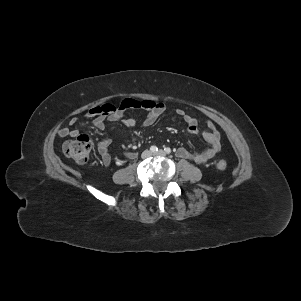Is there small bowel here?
Here are the masks:
<instances>
[{
    "label": "small bowel",
    "mask_w": 301,
    "mask_h": 301,
    "mask_svg": "<svg viewBox=\"0 0 301 301\" xmlns=\"http://www.w3.org/2000/svg\"><path fill=\"white\" fill-rule=\"evenodd\" d=\"M102 106H97L89 110L87 117H94L93 125L98 131H103L106 127V121L122 122L127 127H148L153 125L158 118L165 112V105L161 102L150 100L138 101L135 99H124L117 109L112 112L101 111ZM141 109L146 112L144 118L137 122L132 118H125L124 114L127 110ZM176 113L182 117L187 124L186 132L190 135L200 134L202 138L209 143V147L200 152L190 151L186 148H178L176 154L178 157L188 159L197 164H204L211 160L221 148L220 134L214 127L213 123L208 121L206 130H200L196 118L187 114L182 109H177ZM78 122L77 118H72L69 122L70 126H75ZM79 131L75 128L64 127L58 131L59 137H76ZM110 140L108 138L101 139L97 144L98 153L105 166L111 165L112 158L109 152ZM127 158H133L134 152H125Z\"/></svg>",
    "instance_id": "1"
}]
</instances>
